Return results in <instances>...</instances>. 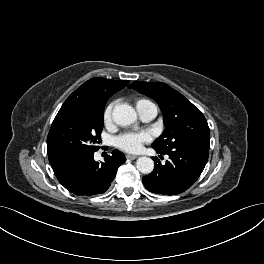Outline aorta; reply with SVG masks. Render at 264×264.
I'll list each match as a JSON object with an SVG mask.
<instances>
[{
	"instance_id": "aorta-1",
	"label": "aorta",
	"mask_w": 264,
	"mask_h": 264,
	"mask_svg": "<svg viewBox=\"0 0 264 264\" xmlns=\"http://www.w3.org/2000/svg\"><path fill=\"white\" fill-rule=\"evenodd\" d=\"M113 120L120 126L133 124L137 119L135 110L127 104L116 105L112 112ZM137 169L143 174H149L154 169V162L149 157H140L136 161Z\"/></svg>"
}]
</instances>
